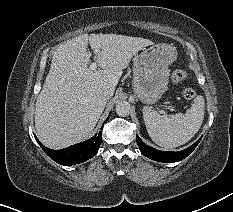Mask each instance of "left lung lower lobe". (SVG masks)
Returning a JSON list of instances; mask_svg holds the SVG:
<instances>
[{
    "mask_svg": "<svg viewBox=\"0 0 233 212\" xmlns=\"http://www.w3.org/2000/svg\"><path fill=\"white\" fill-rule=\"evenodd\" d=\"M200 140L201 138L185 150L179 152H167L156 150L146 145L138 136L136 138L137 144L139 145L142 154L152 160L159 162H177L186 158L196 148Z\"/></svg>",
    "mask_w": 233,
    "mask_h": 212,
    "instance_id": "0a47b994",
    "label": "left lung lower lobe"
}]
</instances>
